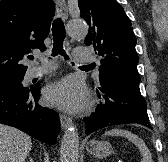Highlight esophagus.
<instances>
[{
  "mask_svg": "<svg viewBox=\"0 0 168 162\" xmlns=\"http://www.w3.org/2000/svg\"><path fill=\"white\" fill-rule=\"evenodd\" d=\"M56 8H57V12L60 15V17L63 20H67L68 9H67L65 0H56ZM59 118H60L61 127L64 130L67 129L72 124V119L65 114H60Z\"/></svg>",
  "mask_w": 168,
  "mask_h": 162,
  "instance_id": "34e87169",
  "label": "esophagus"
}]
</instances>
